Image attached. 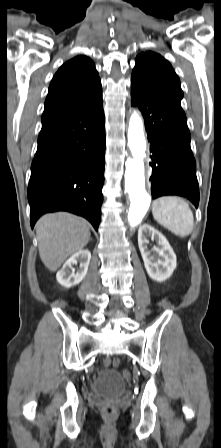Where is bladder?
I'll return each mask as SVG.
<instances>
[{
    "label": "bladder",
    "mask_w": 221,
    "mask_h": 448,
    "mask_svg": "<svg viewBox=\"0 0 221 448\" xmlns=\"http://www.w3.org/2000/svg\"><path fill=\"white\" fill-rule=\"evenodd\" d=\"M126 390V382L115 370H102L95 378L91 392L93 395L115 399L122 396Z\"/></svg>",
    "instance_id": "bladder-1"
}]
</instances>
